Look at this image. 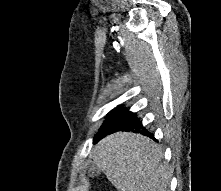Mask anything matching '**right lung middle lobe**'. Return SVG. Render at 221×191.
<instances>
[{
	"mask_svg": "<svg viewBox=\"0 0 221 191\" xmlns=\"http://www.w3.org/2000/svg\"><path fill=\"white\" fill-rule=\"evenodd\" d=\"M102 126H103V125H102ZM102 126H101V128H102ZM101 128L99 129V132H100Z\"/></svg>",
	"mask_w": 221,
	"mask_h": 191,
	"instance_id": "1",
	"label": "right lung middle lobe"
}]
</instances>
